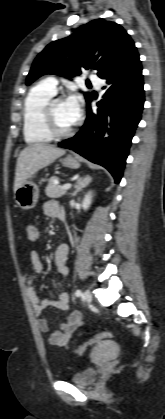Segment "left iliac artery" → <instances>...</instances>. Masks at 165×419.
<instances>
[{"instance_id":"left-iliac-artery-1","label":"left iliac artery","mask_w":165,"mask_h":419,"mask_svg":"<svg viewBox=\"0 0 165 419\" xmlns=\"http://www.w3.org/2000/svg\"><path fill=\"white\" fill-rule=\"evenodd\" d=\"M82 295V292H81V290H76V292H75V296L76 297H79V296H81Z\"/></svg>"}]
</instances>
